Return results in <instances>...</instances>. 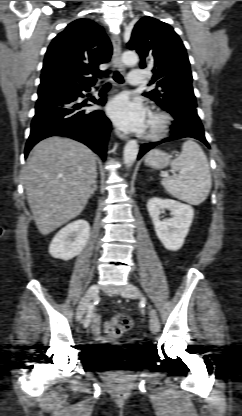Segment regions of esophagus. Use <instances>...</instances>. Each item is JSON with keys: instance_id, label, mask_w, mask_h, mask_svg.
Instances as JSON below:
<instances>
[{"instance_id": "esophagus-1", "label": "esophagus", "mask_w": 242, "mask_h": 416, "mask_svg": "<svg viewBox=\"0 0 242 416\" xmlns=\"http://www.w3.org/2000/svg\"><path fill=\"white\" fill-rule=\"evenodd\" d=\"M111 41L113 44V62L115 64V66L120 70V71H124V65L122 63L121 60V40L120 37L118 35L113 34L111 36ZM115 133L117 135V137H119L121 140H128L129 137L123 133H121L119 130H115Z\"/></svg>"}]
</instances>
